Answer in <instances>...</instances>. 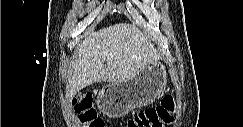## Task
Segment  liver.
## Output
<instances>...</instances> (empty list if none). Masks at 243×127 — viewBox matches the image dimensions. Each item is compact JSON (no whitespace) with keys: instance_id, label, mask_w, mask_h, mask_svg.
Listing matches in <instances>:
<instances>
[{"instance_id":"liver-1","label":"liver","mask_w":243,"mask_h":127,"mask_svg":"<svg viewBox=\"0 0 243 127\" xmlns=\"http://www.w3.org/2000/svg\"><path fill=\"white\" fill-rule=\"evenodd\" d=\"M157 59L150 38L134 25L119 23L92 32L77 47L67 97L95 82L115 83L134 77Z\"/></svg>"}]
</instances>
